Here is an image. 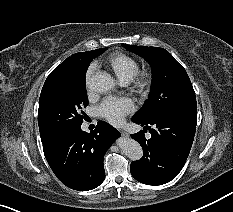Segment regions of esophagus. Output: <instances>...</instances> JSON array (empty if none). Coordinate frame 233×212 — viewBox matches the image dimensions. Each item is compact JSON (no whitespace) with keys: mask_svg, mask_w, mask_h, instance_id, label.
Returning a JSON list of instances; mask_svg holds the SVG:
<instances>
[{"mask_svg":"<svg viewBox=\"0 0 233 212\" xmlns=\"http://www.w3.org/2000/svg\"><path fill=\"white\" fill-rule=\"evenodd\" d=\"M120 132H121L122 136H124V137L129 136L128 133L125 130H120Z\"/></svg>","mask_w":233,"mask_h":212,"instance_id":"1","label":"esophagus"}]
</instances>
